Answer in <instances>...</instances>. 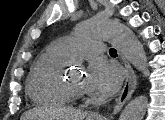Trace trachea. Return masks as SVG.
I'll list each match as a JSON object with an SVG mask.
<instances>
[{
  "mask_svg": "<svg viewBox=\"0 0 165 120\" xmlns=\"http://www.w3.org/2000/svg\"><path fill=\"white\" fill-rule=\"evenodd\" d=\"M109 54H110V55H115V54H117V52H116V50H115L114 48H111V49L109 50Z\"/></svg>",
  "mask_w": 165,
  "mask_h": 120,
  "instance_id": "3493384b",
  "label": "trachea"
}]
</instances>
